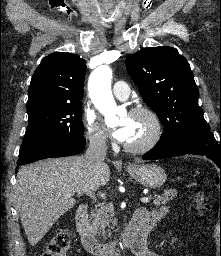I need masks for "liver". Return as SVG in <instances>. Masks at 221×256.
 <instances>
[{
  "label": "liver",
  "instance_id": "6515ba94",
  "mask_svg": "<svg viewBox=\"0 0 221 256\" xmlns=\"http://www.w3.org/2000/svg\"><path fill=\"white\" fill-rule=\"evenodd\" d=\"M110 179L105 164L90 169L85 156L53 158L21 167L14 199L30 245L35 246L53 224L82 196L104 186Z\"/></svg>",
  "mask_w": 221,
  "mask_h": 256
}]
</instances>
